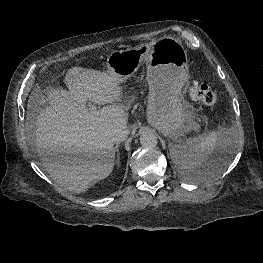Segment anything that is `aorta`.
Segmentation results:
<instances>
[{
	"label": "aorta",
	"mask_w": 263,
	"mask_h": 263,
	"mask_svg": "<svg viewBox=\"0 0 263 263\" xmlns=\"http://www.w3.org/2000/svg\"><path fill=\"white\" fill-rule=\"evenodd\" d=\"M140 143L145 148H154L157 145L158 140L154 133L145 131L140 136Z\"/></svg>",
	"instance_id": "obj_1"
}]
</instances>
